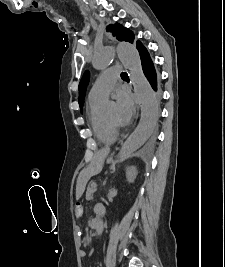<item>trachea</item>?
<instances>
[{"label": "trachea", "instance_id": "1", "mask_svg": "<svg viewBox=\"0 0 225 267\" xmlns=\"http://www.w3.org/2000/svg\"><path fill=\"white\" fill-rule=\"evenodd\" d=\"M121 77H128V75H127V73L123 72V73L121 74Z\"/></svg>", "mask_w": 225, "mask_h": 267}]
</instances>
